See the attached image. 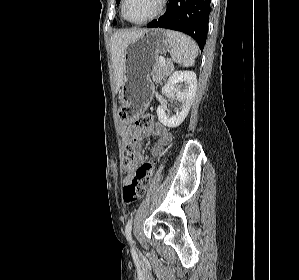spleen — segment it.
<instances>
[{
  "mask_svg": "<svg viewBox=\"0 0 299 280\" xmlns=\"http://www.w3.org/2000/svg\"><path fill=\"white\" fill-rule=\"evenodd\" d=\"M166 36L172 60L183 67L192 66L198 55L196 43L190 37L176 31L167 30Z\"/></svg>",
  "mask_w": 299,
  "mask_h": 280,
  "instance_id": "obj_1",
  "label": "spleen"
}]
</instances>
